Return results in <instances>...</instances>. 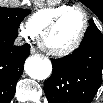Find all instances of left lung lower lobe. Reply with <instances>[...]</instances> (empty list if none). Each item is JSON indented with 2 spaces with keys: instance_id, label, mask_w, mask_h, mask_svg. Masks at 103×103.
<instances>
[{
  "instance_id": "left-lung-lower-lobe-1",
  "label": "left lung lower lobe",
  "mask_w": 103,
  "mask_h": 103,
  "mask_svg": "<svg viewBox=\"0 0 103 103\" xmlns=\"http://www.w3.org/2000/svg\"><path fill=\"white\" fill-rule=\"evenodd\" d=\"M52 75L44 83L49 103H91L102 84L103 35L90 24L71 55L51 59Z\"/></svg>"
}]
</instances>
